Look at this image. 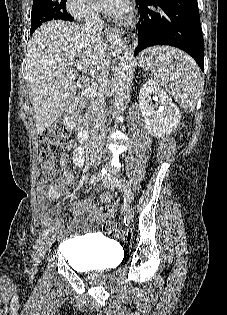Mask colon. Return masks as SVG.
I'll list each match as a JSON object with an SVG mask.
<instances>
[{
	"instance_id": "1",
	"label": "colon",
	"mask_w": 227,
	"mask_h": 315,
	"mask_svg": "<svg viewBox=\"0 0 227 315\" xmlns=\"http://www.w3.org/2000/svg\"><path fill=\"white\" fill-rule=\"evenodd\" d=\"M68 139V130L63 123H55L48 127L40 139L41 178L46 181L55 176L53 164L56 158L64 153ZM110 236H125L126 232L121 230L114 221H108L104 227Z\"/></svg>"
}]
</instances>
